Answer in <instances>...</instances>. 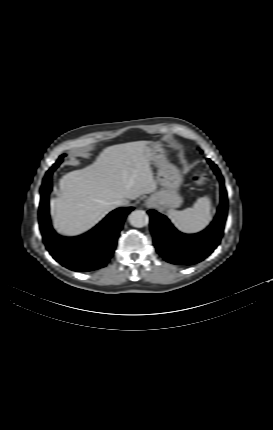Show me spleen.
Here are the masks:
<instances>
[{"mask_svg": "<svg viewBox=\"0 0 273 430\" xmlns=\"http://www.w3.org/2000/svg\"><path fill=\"white\" fill-rule=\"evenodd\" d=\"M211 201L207 196L197 199L192 208L168 211V217L177 230L194 234L204 230L211 221Z\"/></svg>", "mask_w": 273, "mask_h": 430, "instance_id": "obj_1", "label": "spleen"}]
</instances>
